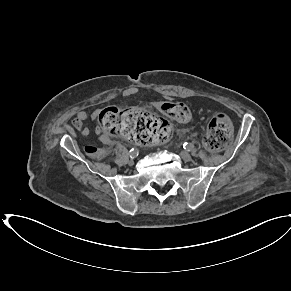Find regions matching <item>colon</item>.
<instances>
[{
    "label": "colon",
    "mask_w": 291,
    "mask_h": 291,
    "mask_svg": "<svg viewBox=\"0 0 291 291\" xmlns=\"http://www.w3.org/2000/svg\"><path fill=\"white\" fill-rule=\"evenodd\" d=\"M159 109L163 115L178 122H188L192 118L190 110L184 103L161 102ZM98 122L103 131L140 144H152L162 140L170 130L165 118L141 108L106 107L99 113ZM232 135L233 126L230 118L226 114L218 113L209 122L204 143L211 151H221L230 143ZM85 151L94 158H99L104 153L96 146H87Z\"/></svg>",
    "instance_id": "1"
}]
</instances>
